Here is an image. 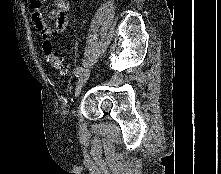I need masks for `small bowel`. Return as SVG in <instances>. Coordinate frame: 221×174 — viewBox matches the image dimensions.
I'll return each instance as SVG.
<instances>
[{
  "mask_svg": "<svg viewBox=\"0 0 221 174\" xmlns=\"http://www.w3.org/2000/svg\"><path fill=\"white\" fill-rule=\"evenodd\" d=\"M32 10V18L36 29L41 35L50 38L63 33L69 24L68 12L70 4L67 0H56L55 7L45 17L42 14V5L46 0H28ZM50 22H53L50 25Z\"/></svg>",
  "mask_w": 221,
  "mask_h": 174,
  "instance_id": "c3829d8e",
  "label": "small bowel"
}]
</instances>
